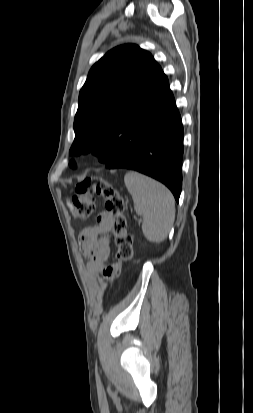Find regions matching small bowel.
<instances>
[{"instance_id":"1","label":"small bowel","mask_w":253,"mask_h":413,"mask_svg":"<svg viewBox=\"0 0 253 413\" xmlns=\"http://www.w3.org/2000/svg\"><path fill=\"white\" fill-rule=\"evenodd\" d=\"M112 229L113 216L105 210L97 216L95 225L83 228L79 234L80 248L88 259V270L107 281H113L121 270L119 264L105 265L111 251L109 235Z\"/></svg>"}]
</instances>
